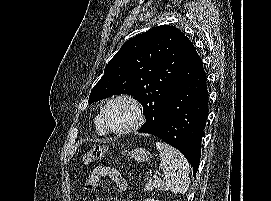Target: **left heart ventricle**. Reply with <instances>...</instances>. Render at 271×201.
<instances>
[{"label": "left heart ventricle", "instance_id": "left-heart-ventricle-1", "mask_svg": "<svg viewBox=\"0 0 271 201\" xmlns=\"http://www.w3.org/2000/svg\"><path fill=\"white\" fill-rule=\"evenodd\" d=\"M106 118L113 128L124 129L135 122L136 113L130 103L126 101H117L107 108Z\"/></svg>", "mask_w": 271, "mask_h": 201}]
</instances>
